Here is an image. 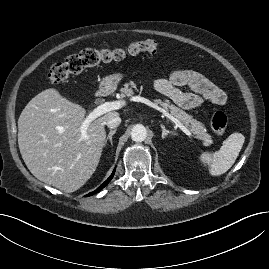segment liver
Returning <instances> with one entry per match:
<instances>
[{"label":"liver","mask_w":269,"mask_h":269,"mask_svg":"<svg viewBox=\"0 0 269 269\" xmlns=\"http://www.w3.org/2000/svg\"><path fill=\"white\" fill-rule=\"evenodd\" d=\"M86 110L46 89L32 98L18 119V145L30 172L40 181L66 193L82 187L95 172L110 111L93 120L82 135Z\"/></svg>","instance_id":"liver-1"}]
</instances>
